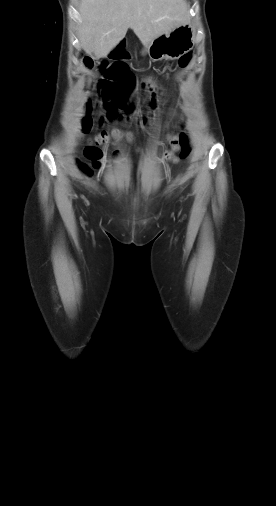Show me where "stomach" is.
<instances>
[{
    "label": "stomach",
    "instance_id": "0dacf381",
    "mask_svg": "<svg viewBox=\"0 0 276 506\" xmlns=\"http://www.w3.org/2000/svg\"><path fill=\"white\" fill-rule=\"evenodd\" d=\"M194 42L195 30L190 23H185L144 45L142 54H148L153 61L178 59L193 48Z\"/></svg>",
    "mask_w": 276,
    "mask_h": 506
}]
</instances>
